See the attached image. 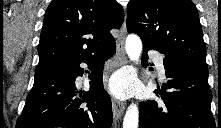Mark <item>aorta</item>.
I'll list each match as a JSON object with an SVG mask.
<instances>
[{
  "label": "aorta",
  "instance_id": "762f6f07",
  "mask_svg": "<svg viewBox=\"0 0 221 128\" xmlns=\"http://www.w3.org/2000/svg\"><path fill=\"white\" fill-rule=\"evenodd\" d=\"M125 49L129 59L137 62L142 52V41L139 36L130 34L126 38ZM139 125V110L138 106L134 103L130 104L126 110L123 128H138Z\"/></svg>",
  "mask_w": 221,
  "mask_h": 128
}]
</instances>
